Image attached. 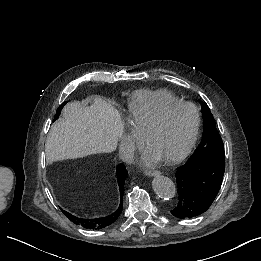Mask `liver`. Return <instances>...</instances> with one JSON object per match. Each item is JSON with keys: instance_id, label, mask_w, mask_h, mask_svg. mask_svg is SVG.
Returning <instances> with one entry per match:
<instances>
[{"instance_id": "6515ba94", "label": "liver", "mask_w": 261, "mask_h": 261, "mask_svg": "<svg viewBox=\"0 0 261 261\" xmlns=\"http://www.w3.org/2000/svg\"><path fill=\"white\" fill-rule=\"evenodd\" d=\"M123 131L121 113L100 96L91 97L90 105L73 101L52 125L45 144L46 154L75 158L111 152Z\"/></svg>"}]
</instances>
